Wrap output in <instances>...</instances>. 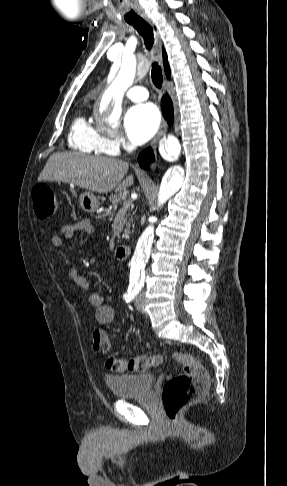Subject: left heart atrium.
Masks as SVG:
<instances>
[{
	"mask_svg": "<svg viewBox=\"0 0 287 486\" xmlns=\"http://www.w3.org/2000/svg\"><path fill=\"white\" fill-rule=\"evenodd\" d=\"M160 114L150 103L131 107L124 118V128L128 139L135 145L148 141L157 131Z\"/></svg>",
	"mask_w": 287,
	"mask_h": 486,
	"instance_id": "left-heart-atrium-1",
	"label": "left heart atrium"
}]
</instances>
